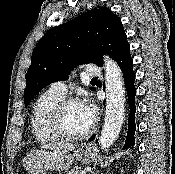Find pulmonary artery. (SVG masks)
<instances>
[{"instance_id": "obj_1", "label": "pulmonary artery", "mask_w": 175, "mask_h": 174, "mask_svg": "<svg viewBox=\"0 0 175 174\" xmlns=\"http://www.w3.org/2000/svg\"><path fill=\"white\" fill-rule=\"evenodd\" d=\"M85 74L87 76H100L101 71L96 65L88 64L85 68ZM50 90L53 91L54 93L60 95V96H63V97L67 93L66 84L64 82H61V81L54 82L51 85Z\"/></svg>"}]
</instances>
